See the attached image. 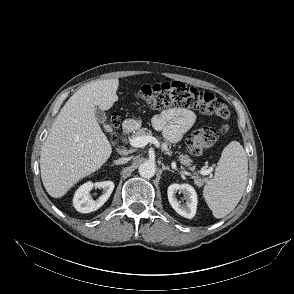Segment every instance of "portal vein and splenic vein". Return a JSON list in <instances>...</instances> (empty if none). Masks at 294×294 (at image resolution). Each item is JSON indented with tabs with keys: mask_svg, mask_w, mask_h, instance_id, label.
I'll return each instance as SVG.
<instances>
[{
	"mask_svg": "<svg viewBox=\"0 0 294 294\" xmlns=\"http://www.w3.org/2000/svg\"><path fill=\"white\" fill-rule=\"evenodd\" d=\"M148 143L154 144L157 148H160L159 141L153 136H140L129 139V144L133 147L140 148L146 146ZM203 175L208 174L207 170L201 171Z\"/></svg>",
	"mask_w": 294,
	"mask_h": 294,
	"instance_id": "obj_1",
	"label": "portal vein and splenic vein"
}]
</instances>
